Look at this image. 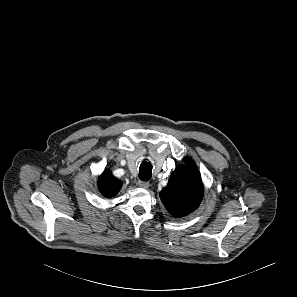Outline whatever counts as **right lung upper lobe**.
<instances>
[{
	"mask_svg": "<svg viewBox=\"0 0 297 297\" xmlns=\"http://www.w3.org/2000/svg\"><path fill=\"white\" fill-rule=\"evenodd\" d=\"M122 183L119 179L114 177L110 171L104 172L98 180V187L100 192L105 197H113L121 189Z\"/></svg>",
	"mask_w": 297,
	"mask_h": 297,
	"instance_id": "obj_1",
	"label": "right lung upper lobe"
}]
</instances>
